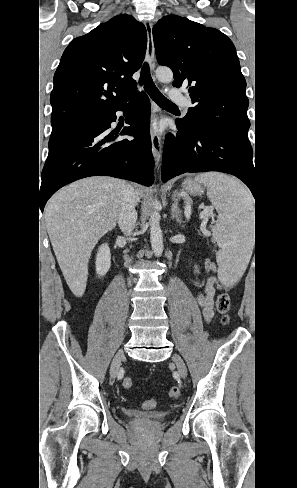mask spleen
<instances>
[{
    "mask_svg": "<svg viewBox=\"0 0 297 488\" xmlns=\"http://www.w3.org/2000/svg\"><path fill=\"white\" fill-rule=\"evenodd\" d=\"M195 180L208 188V197L218 212L212 227L219 243L218 274L223 282L239 280L253 249V201L248 190L235 178L218 172L201 173Z\"/></svg>",
    "mask_w": 297,
    "mask_h": 488,
    "instance_id": "obj_1",
    "label": "spleen"
}]
</instances>
